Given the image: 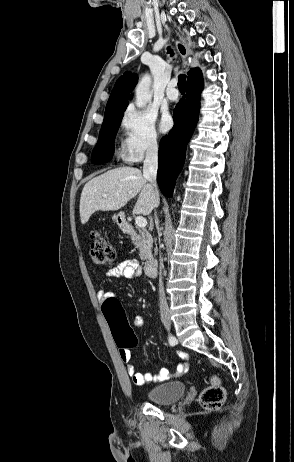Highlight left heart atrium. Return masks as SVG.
Returning <instances> with one entry per match:
<instances>
[{
	"mask_svg": "<svg viewBox=\"0 0 294 462\" xmlns=\"http://www.w3.org/2000/svg\"><path fill=\"white\" fill-rule=\"evenodd\" d=\"M172 126V119L170 115L164 114L160 120V129L162 132H167Z\"/></svg>",
	"mask_w": 294,
	"mask_h": 462,
	"instance_id": "left-heart-atrium-1",
	"label": "left heart atrium"
}]
</instances>
